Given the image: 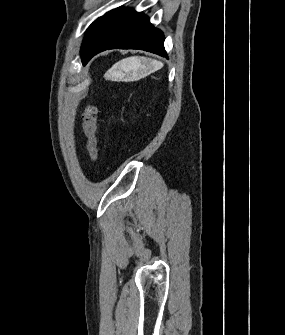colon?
<instances>
[{
	"mask_svg": "<svg viewBox=\"0 0 285 335\" xmlns=\"http://www.w3.org/2000/svg\"><path fill=\"white\" fill-rule=\"evenodd\" d=\"M97 114L98 107L92 104L87 105L82 114L83 130L87 140V150L93 164H96L99 158V149L96 137Z\"/></svg>",
	"mask_w": 285,
	"mask_h": 335,
	"instance_id": "1",
	"label": "colon"
}]
</instances>
